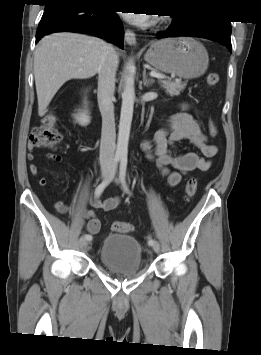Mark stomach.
<instances>
[{"mask_svg": "<svg viewBox=\"0 0 261 355\" xmlns=\"http://www.w3.org/2000/svg\"><path fill=\"white\" fill-rule=\"evenodd\" d=\"M144 58L159 71L184 79L200 77L209 64L207 50L191 37L167 38L152 42Z\"/></svg>", "mask_w": 261, "mask_h": 355, "instance_id": "stomach-1", "label": "stomach"}]
</instances>
